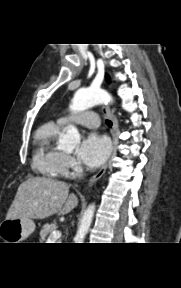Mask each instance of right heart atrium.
Segmentation results:
<instances>
[{
	"instance_id": "obj_1",
	"label": "right heart atrium",
	"mask_w": 181,
	"mask_h": 288,
	"mask_svg": "<svg viewBox=\"0 0 181 288\" xmlns=\"http://www.w3.org/2000/svg\"><path fill=\"white\" fill-rule=\"evenodd\" d=\"M77 169L78 165L76 160L72 156L66 155L64 168L61 171L60 176L69 177L73 172L77 171Z\"/></svg>"
}]
</instances>
